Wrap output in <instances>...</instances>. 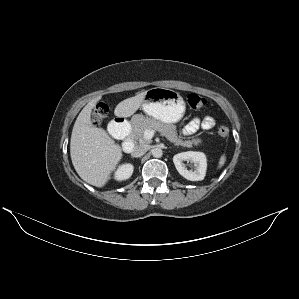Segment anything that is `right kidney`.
<instances>
[{
  "instance_id": "ca27d5eb",
  "label": "right kidney",
  "mask_w": 299,
  "mask_h": 299,
  "mask_svg": "<svg viewBox=\"0 0 299 299\" xmlns=\"http://www.w3.org/2000/svg\"><path fill=\"white\" fill-rule=\"evenodd\" d=\"M133 170L134 167L132 164H123L119 166V168L115 172V179L119 181L126 180L131 177Z\"/></svg>"
}]
</instances>
